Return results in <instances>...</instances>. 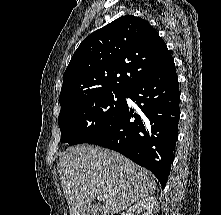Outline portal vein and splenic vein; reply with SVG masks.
<instances>
[{
    "mask_svg": "<svg viewBox=\"0 0 221 215\" xmlns=\"http://www.w3.org/2000/svg\"><path fill=\"white\" fill-rule=\"evenodd\" d=\"M98 199L103 200L104 198H103V196H98Z\"/></svg>",
    "mask_w": 221,
    "mask_h": 215,
    "instance_id": "18ae733b",
    "label": "portal vein and splenic vein"
}]
</instances>
